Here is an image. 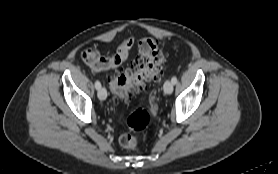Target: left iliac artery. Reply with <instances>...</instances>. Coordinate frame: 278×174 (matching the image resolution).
Listing matches in <instances>:
<instances>
[{
    "mask_svg": "<svg viewBox=\"0 0 278 174\" xmlns=\"http://www.w3.org/2000/svg\"><path fill=\"white\" fill-rule=\"evenodd\" d=\"M171 82L175 85L177 83V78L175 76L172 77Z\"/></svg>",
    "mask_w": 278,
    "mask_h": 174,
    "instance_id": "44dca946",
    "label": "left iliac artery"
}]
</instances>
